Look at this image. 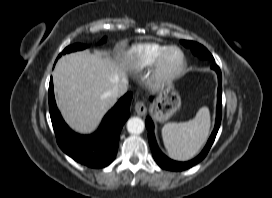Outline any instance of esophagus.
<instances>
[{
  "label": "esophagus",
  "instance_id": "1",
  "mask_svg": "<svg viewBox=\"0 0 272 198\" xmlns=\"http://www.w3.org/2000/svg\"><path fill=\"white\" fill-rule=\"evenodd\" d=\"M134 110L138 115L143 116L146 113L147 108L143 101H138L134 106Z\"/></svg>",
  "mask_w": 272,
  "mask_h": 198
}]
</instances>
